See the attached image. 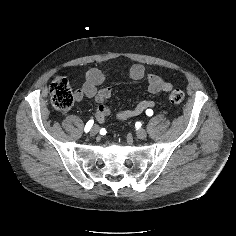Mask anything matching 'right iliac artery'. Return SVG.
<instances>
[{"label": "right iliac artery", "mask_w": 236, "mask_h": 236, "mask_svg": "<svg viewBox=\"0 0 236 236\" xmlns=\"http://www.w3.org/2000/svg\"><path fill=\"white\" fill-rule=\"evenodd\" d=\"M94 121L93 120H89L84 128V131L87 133L89 132V130L91 129L92 125H93Z\"/></svg>", "instance_id": "obj_1"}]
</instances>
